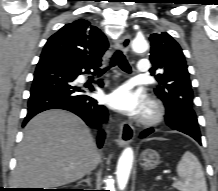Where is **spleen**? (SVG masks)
<instances>
[{
    "label": "spleen",
    "instance_id": "spleen-1",
    "mask_svg": "<svg viewBox=\"0 0 218 191\" xmlns=\"http://www.w3.org/2000/svg\"><path fill=\"white\" fill-rule=\"evenodd\" d=\"M180 180L173 186L179 191H207L202 165L191 152H185L176 167Z\"/></svg>",
    "mask_w": 218,
    "mask_h": 191
}]
</instances>
